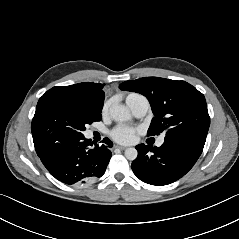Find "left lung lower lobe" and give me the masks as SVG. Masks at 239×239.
Instances as JSON below:
<instances>
[{"label":"left lung lower lobe","instance_id":"1","mask_svg":"<svg viewBox=\"0 0 239 239\" xmlns=\"http://www.w3.org/2000/svg\"><path fill=\"white\" fill-rule=\"evenodd\" d=\"M203 145L175 137H165L160 147L136 146L138 156L132 163L134 174L143 182L162 186L184 176L196 163Z\"/></svg>","mask_w":239,"mask_h":239}]
</instances>
